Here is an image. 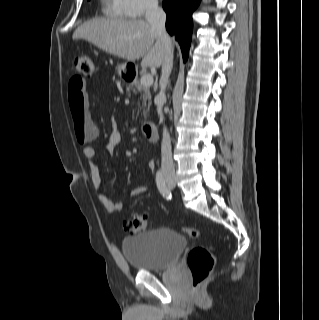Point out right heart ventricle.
I'll use <instances>...</instances> for the list:
<instances>
[{"mask_svg":"<svg viewBox=\"0 0 319 320\" xmlns=\"http://www.w3.org/2000/svg\"><path fill=\"white\" fill-rule=\"evenodd\" d=\"M104 12L115 18H121L125 15L119 0H103Z\"/></svg>","mask_w":319,"mask_h":320,"instance_id":"1","label":"right heart ventricle"}]
</instances>
